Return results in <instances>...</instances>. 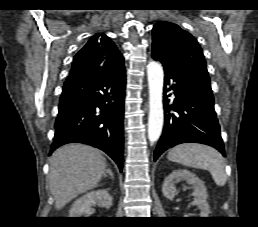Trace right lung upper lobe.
I'll use <instances>...</instances> for the list:
<instances>
[{"label": "right lung upper lobe", "mask_w": 258, "mask_h": 227, "mask_svg": "<svg viewBox=\"0 0 258 227\" xmlns=\"http://www.w3.org/2000/svg\"><path fill=\"white\" fill-rule=\"evenodd\" d=\"M119 59L123 57L110 38L96 34L74 57L69 77L95 73Z\"/></svg>", "instance_id": "cb5924a9"}]
</instances>
